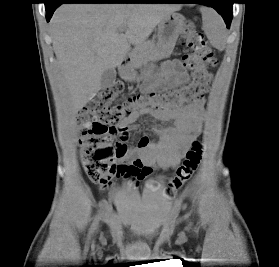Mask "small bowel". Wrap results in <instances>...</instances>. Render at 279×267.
I'll return each mask as SVG.
<instances>
[{
	"mask_svg": "<svg viewBox=\"0 0 279 267\" xmlns=\"http://www.w3.org/2000/svg\"><path fill=\"white\" fill-rule=\"evenodd\" d=\"M163 75L154 84L155 87H167L182 84L188 80L180 60H173L163 64ZM150 86H145L149 90ZM150 114L161 122L172 121L171 126L156 128V140L148 137L142 138L130 156L124 158L129 161L134 157L143 167L142 172L133 175L138 180L144 179L152 172V167L158 166L164 170L175 168L185 155L192 141L199 134L204 122V100L199 99L183 108L177 109H141L132 113L124 123L129 128L140 117ZM115 177H106L98 182L101 188L108 189Z\"/></svg>",
	"mask_w": 279,
	"mask_h": 267,
	"instance_id": "small-bowel-1",
	"label": "small bowel"
}]
</instances>
